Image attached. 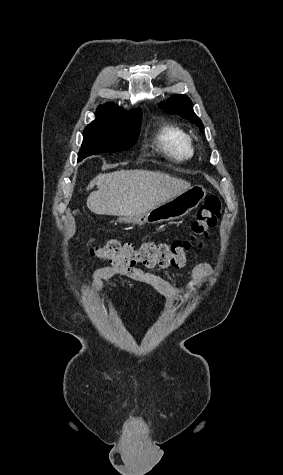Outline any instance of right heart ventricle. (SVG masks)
Instances as JSON below:
<instances>
[{"mask_svg": "<svg viewBox=\"0 0 283 475\" xmlns=\"http://www.w3.org/2000/svg\"><path fill=\"white\" fill-rule=\"evenodd\" d=\"M153 142L178 161L191 160L196 155V146L191 135L181 125L174 122L160 123Z\"/></svg>", "mask_w": 283, "mask_h": 475, "instance_id": "1", "label": "right heart ventricle"}]
</instances>
